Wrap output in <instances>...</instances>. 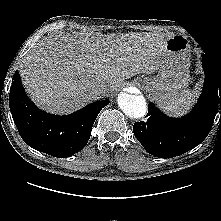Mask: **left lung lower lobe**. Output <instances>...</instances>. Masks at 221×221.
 I'll return each instance as SVG.
<instances>
[{
  "label": "left lung lower lobe",
  "instance_id": "left-lung-lower-lobe-1",
  "mask_svg": "<svg viewBox=\"0 0 221 221\" xmlns=\"http://www.w3.org/2000/svg\"><path fill=\"white\" fill-rule=\"evenodd\" d=\"M205 81L192 112L181 118L168 117L149 104L147 122H136L133 132L150 154L160 158L179 156L199 145L208 135L221 104V78L205 55L202 56Z\"/></svg>",
  "mask_w": 221,
  "mask_h": 221
}]
</instances>
